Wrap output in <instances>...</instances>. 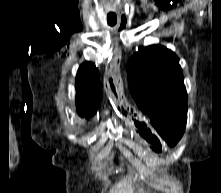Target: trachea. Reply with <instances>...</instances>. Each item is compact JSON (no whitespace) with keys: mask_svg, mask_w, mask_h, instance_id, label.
I'll use <instances>...</instances> for the list:
<instances>
[{"mask_svg":"<svg viewBox=\"0 0 221 193\" xmlns=\"http://www.w3.org/2000/svg\"><path fill=\"white\" fill-rule=\"evenodd\" d=\"M107 21H108V24L110 26H114L117 23V16H116V14H108L107 15Z\"/></svg>","mask_w":221,"mask_h":193,"instance_id":"3493384b","label":"trachea"}]
</instances>
